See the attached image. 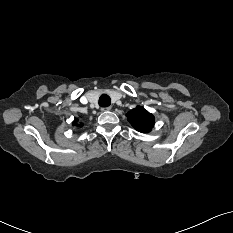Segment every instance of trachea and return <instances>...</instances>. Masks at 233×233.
Masks as SVG:
<instances>
[{
	"mask_svg": "<svg viewBox=\"0 0 233 233\" xmlns=\"http://www.w3.org/2000/svg\"><path fill=\"white\" fill-rule=\"evenodd\" d=\"M111 104V99L107 94H102L99 98V105L101 107H108Z\"/></svg>",
	"mask_w": 233,
	"mask_h": 233,
	"instance_id": "1",
	"label": "trachea"
}]
</instances>
